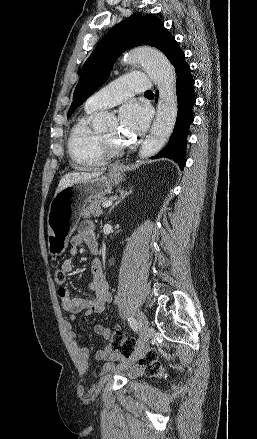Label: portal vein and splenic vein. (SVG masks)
<instances>
[{"mask_svg": "<svg viewBox=\"0 0 257 439\" xmlns=\"http://www.w3.org/2000/svg\"><path fill=\"white\" fill-rule=\"evenodd\" d=\"M112 203H113V201H112V200H109V201L104 202V203L102 204V206H103L104 208H107V207L111 206Z\"/></svg>", "mask_w": 257, "mask_h": 439, "instance_id": "obj_1", "label": "portal vein and splenic vein"}]
</instances>
